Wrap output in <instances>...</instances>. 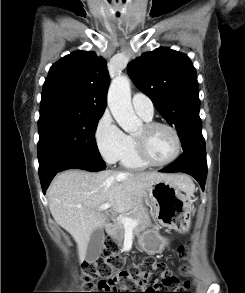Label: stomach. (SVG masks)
<instances>
[{"label": "stomach", "mask_w": 245, "mask_h": 293, "mask_svg": "<svg viewBox=\"0 0 245 293\" xmlns=\"http://www.w3.org/2000/svg\"><path fill=\"white\" fill-rule=\"evenodd\" d=\"M148 200L154 209V216L160 225L183 229L190 223L192 201L188 194L173 181L152 183L147 189ZM163 237L153 229L146 230L138 238V245L144 252L155 254L163 248Z\"/></svg>", "instance_id": "obj_1"}]
</instances>
